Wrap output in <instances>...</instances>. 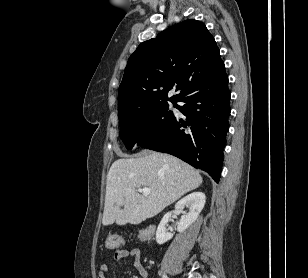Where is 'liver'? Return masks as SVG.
I'll use <instances>...</instances> for the list:
<instances>
[{"label": "liver", "mask_w": 308, "mask_h": 278, "mask_svg": "<svg viewBox=\"0 0 308 278\" xmlns=\"http://www.w3.org/2000/svg\"><path fill=\"white\" fill-rule=\"evenodd\" d=\"M202 182L198 171L169 154L147 152L137 158L118 159L107 174L102 224H139ZM142 186L150 189L149 195L136 192Z\"/></svg>", "instance_id": "6515ba94"}]
</instances>
